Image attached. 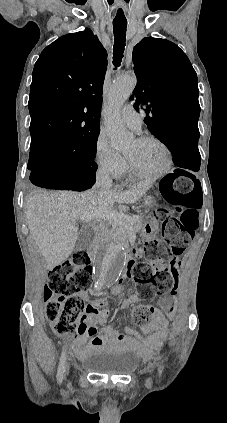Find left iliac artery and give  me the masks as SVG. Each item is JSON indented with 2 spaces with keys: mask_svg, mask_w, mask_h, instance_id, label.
Returning a JSON list of instances; mask_svg holds the SVG:
<instances>
[{
  "mask_svg": "<svg viewBox=\"0 0 227 423\" xmlns=\"http://www.w3.org/2000/svg\"><path fill=\"white\" fill-rule=\"evenodd\" d=\"M158 372H159V375L161 376V374H162V367H161V365H159V367H158Z\"/></svg>",
  "mask_w": 227,
  "mask_h": 423,
  "instance_id": "1",
  "label": "left iliac artery"
}]
</instances>
